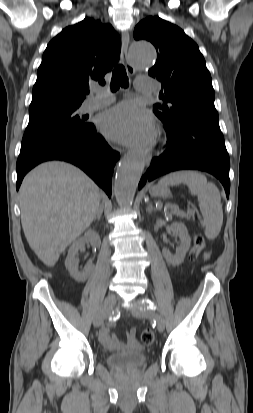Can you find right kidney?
Instances as JSON below:
<instances>
[{"instance_id":"1","label":"right kidney","mask_w":253,"mask_h":413,"mask_svg":"<svg viewBox=\"0 0 253 413\" xmlns=\"http://www.w3.org/2000/svg\"><path fill=\"white\" fill-rule=\"evenodd\" d=\"M88 243L94 247H99L101 245L99 234L92 229L85 232L84 236L78 238L72 244L65 261V266L70 275L79 282L85 281L93 270V265L91 263L87 264L82 271H79L78 269L79 260L77 259V253L79 250L84 248L85 244Z\"/></svg>"}]
</instances>
